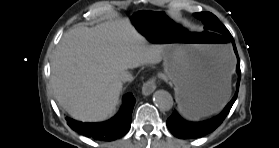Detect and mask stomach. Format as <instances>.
I'll list each match as a JSON object with an SVG mask.
<instances>
[{
	"label": "stomach",
	"instance_id": "stomach-1",
	"mask_svg": "<svg viewBox=\"0 0 279 148\" xmlns=\"http://www.w3.org/2000/svg\"><path fill=\"white\" fill-rule=\"evenodd\" d=\"M128 24L150 44L163 47L164 76L174 83L184 116L209 115L221 108L227 100L224 88L234 62L226 46L209 33L190 30L171 10L135 8L128 15Z\"/></svg>",
	"mask_w": 279,
	"mask_h": 148
}]
</instances>
